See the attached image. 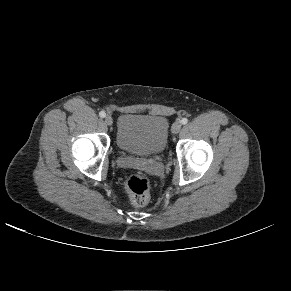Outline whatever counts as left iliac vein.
<instances>
[{
    "label": "left iliac vein",
    "mask_w": 291,
    "mask_h": 291,
    "mask_svg": "<svg viewBox=\"0 0 291 291\" xmlns=\"http://www.w3.org/2000/svg\"><path fill=\"white\" fill-rule=\"evenodd\" d=\"M181 123L180 122H175L173 125H172V133L173 134H177L179 133V131L181 130Z\"/></svg>",
    "instance_id": "1"
}]
</instances>
